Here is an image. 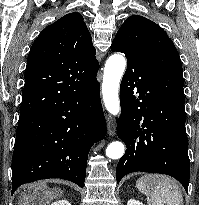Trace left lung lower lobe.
<instances>
[{"mask_svg":"<svg viewBox=\"0 0 199 205\" xmlns=\"http://www.w3.org/2000/svg\"><path fill=\"white\" fill-rule=\"evenodd\" d=\"M112 51L124 53L128 61L117 121V135L127 150L117 164V183L132 172L161 173L177 179L188 192L184 95L167 88L137 56L119 46Z\"/></svg>","mask_w":199,"mask_h":205,"instance_id":"left-lung-lower-lobe-1","label":"left lung lower lobe"}]
</instances>
